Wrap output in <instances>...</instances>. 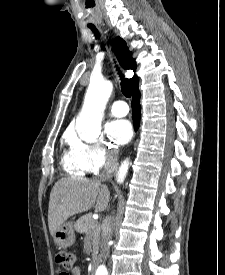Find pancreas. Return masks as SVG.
Returning a JSON list of instances; mask_svg holds the SVG:
<instances>
[{
    "label": "pancreas",
    "instance_id": "1",
    "mask_svg": "<svg viewBox=\"0 0 225 275\" xmlns=\"http://www.w3.org/2000/svg\"><path fill=\"white\" fill-rule=\"evenodd\" d=\"M74 229L78 233H85L93 241V247L99 242L100 224L92 218V214H86L80 217L74 224Z\"/></svg>",
    "mask_w": 225,
    "mask_h": 275
}]
</instances>
